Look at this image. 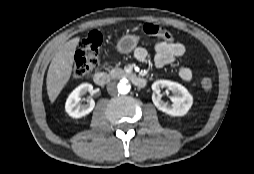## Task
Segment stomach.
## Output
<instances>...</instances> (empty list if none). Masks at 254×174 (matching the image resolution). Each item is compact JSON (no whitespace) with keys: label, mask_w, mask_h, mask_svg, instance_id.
Returning a JSON list of instances; mask_svg holds the SVG:
<instances>
[{"label":"stomach","mask_w":254,"mask_h":174,"mask_svg":"<svg viewBox=\"0 0 254 174\" xmlns=\"http://www.w3.org/2000/svg\"><path fill=\"white\" fill-rule=\"evenodd\" d=\"M139 42V36L133 34L123 35L117 42L116 49L122 54L132 52Z\"/></svg>","instance_id":"0dacf381"}]
</instances>
